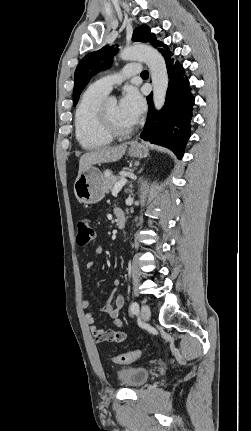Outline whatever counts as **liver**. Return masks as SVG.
Returning <instances> with one entry per match:
<instances>
[{
	"mask_svg": "<svg viewBox=\"0 0 251 431\" xmlns=\"http://www.w3.org/2000/svg\"><path fill=\"white\" fill-rule=\"evenodd\" d=\"M127 145L128 143H124L114 147H103L83 154L79 160L78 175L91 165L118 161L125 154Z\"/></svg>",
	"mask_w": 251,
	"mask_h": 431,
	"instance_id": "obj_1",
	"label": "liver"
}]
</instances>
